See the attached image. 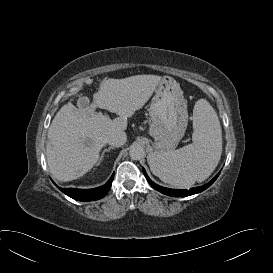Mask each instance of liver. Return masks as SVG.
Listing matches in <instances>:
<instances>
[{
	"mask_svg": "<svg viewBox=\"0 0 273 273\" xmlns=\"http://www.w3.org/2000/svg\"><path fill=\"white\" fill-rule=\"evenodd\" d=\"M161 80L157 75L109 78L100 84L90 106L76 108L72 103L62 106L47 133V164L53 177L72 181L91 170L107 144L108 135L127 128V118L145 105ZM96 107L119 117L111 120L95 112Z\"/></svg>",
	"mask_w": 273,
	"mask_h": 273,
	"instance_id": "1",
	"label": "liver"
}]
</instances>
